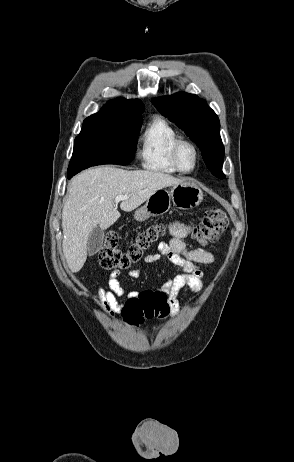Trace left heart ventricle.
Here are the masks:
<instances>
[{
  "label": "left heart ventricle",
  "instance_id": "obj_1",
  "mask_svg": "<svg viewBox=\"0 0 294 462\" xmlns=\"http://www.w3.org/2000/svg\"><path fill=\"white\" fill-rule=\"evenodd\" d=\"M180 164L184 169H191L194 165V152L188 145H184L179 153Z\"/></svg>",
  "mask_w": 294,
  "mask_h": 462
}]
</instances>
